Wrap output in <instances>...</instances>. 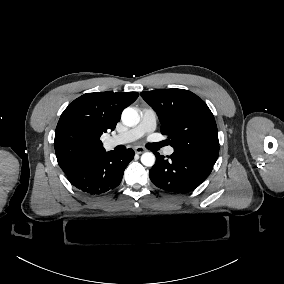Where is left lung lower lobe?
I'll use <instances>...</instances> for the list:
<instances>
[{
    "label": "left lung lower lobe",
    "mask_w": 284,
    "mask_h": 284,
    "mask_svg": "<svg viewBox=\"0 0 284 284\" xmlns=\"http://www.w3.org/2000/svg\"><path fill=\"white\" fill-rule=\"evenodd\" d=\"M157 161L149 170L157 187L174 193H188L198 187L211 173L213 164L201 159L173 153L168 158L155 153Z\"/></svg>",
    "instance_id": "obj_1"
}]
</instances>
